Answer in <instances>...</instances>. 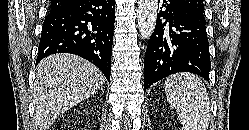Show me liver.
<instances>
[{"label":"liver","mask_w":249,"mask_h":130,"mask_svg":"<svg viewBox=\"0 0 249 130\" xmlns=\"http://www.w3.org/2000/svg\"><path fill=\"white\" fill-rule=\"evenodd\" d=\"M35 122L48 130L63 113L97 92L105 81L100 70L72 54H54L37 66Z\"/></svg>","instance_id":"liver-1"}]
</instances>
